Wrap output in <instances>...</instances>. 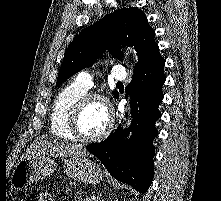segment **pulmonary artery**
I'll list each match as a JSON object with an SVG mask.
<instances>
[{"instance_id":"pulmonary-artery-1","label":"pulmonary artery","mask_w":221,"mask_h":201,"mask_svg":"<svg viewBox=\"0 0 221 201\" xmlns=\"http://www.w3.org/2000/svg\"><path fill=\"white\" fill-rule=\"evenodd\" d=\"M127 77L126 70L122 66H115L112 69V78L117 81H124ZM75 83H77L82 88L88 90L93 85V77L87 72H81L76 77Z\"/></svg>"}]
</instances>
